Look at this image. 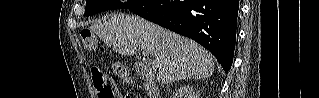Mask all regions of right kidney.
<instances>
[{"label": "right kidney", "instance_id": "obj_1", "mask_svg": "<svg viewBox=\"0 0 319 98\" xmlns=\"http://www.w3.org/2000/svg\"><path fill=\"white\" fill-rule=\"evenodd\" d=\"M190 93H191L193 96H195V93H194L192 90L190 91ZM196 96H197V95H196Z\"/></svg>", "mask_w": 319, "mask_h": 98}]
</instances>
